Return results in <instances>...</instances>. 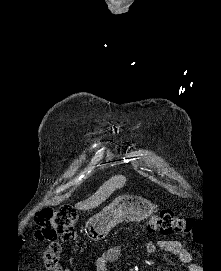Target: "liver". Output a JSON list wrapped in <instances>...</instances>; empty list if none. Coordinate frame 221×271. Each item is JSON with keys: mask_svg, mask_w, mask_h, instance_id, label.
Returning <instances> with one entry per match:
<instances>
[{"mask_svg": "<svg viewBox=\"0 0 221 271\" xmlns=\"http://www.w3.org/2000/svg\"><path fill=\"white\" fill-rule=\"evenodd\" d=\"M113 189H111V181H105L99 189H97L94 195L85 199V201H80V203H76L75 207L77 209H92V207H98L102 201H105L109 195H111Z\"/></svg>", "mask_w": 221, "mask_h": 271, "instance_id": "1", "label": "liver"}]
</instances>
